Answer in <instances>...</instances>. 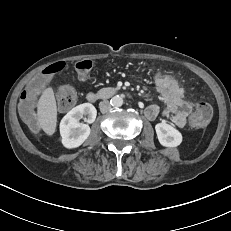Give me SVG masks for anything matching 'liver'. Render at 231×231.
<instances>
[{
  "instance_id": "1",
  "label": "liver",
  "mask_w": 231,
  "mask_h": 231,
  "mask_svg": "<svg viewBox=\"0 0 231 231\" xmlns=\"http://www.w3.org/2000/svg\"><path fill=\"white\" fill-rule=\"evenodd\" d=\"M38 123L42 130L52 136L57 126V105L53 89L46 88L37 104Z\"/></svg>"
}]
</instances>
